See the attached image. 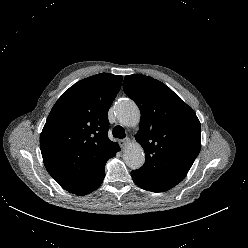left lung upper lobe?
Instances as JSON below:
<instances>
[{
  "label": "left lung upper lobe",
  "mask_w": 248,
  "mask_h": 248,
  "mask_svg": "<svg viewBox=\"0 0 248 248\" xmlns=\"http://www.w3.org/2000/svg\"><path fill=\"white\" fill-rule=\"evenodd\" d=\"M124 92L141 111L135 136L145 151L136 174L142 189L163 192L181 182L201 148V125L169 87L142 74L125 76Z\"/></svg>",
  "instance_id": "5c2ea615"
}]
</instances>
